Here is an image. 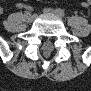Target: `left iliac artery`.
<instances>
[{
	"label": "left iliac artery",
	"mask_w": 91,
	"mask_h": 91,
	"mask_svg": "<svg viewBox=\"0 0 91 91\" xmlns=\"http://www.w3.org/2000/svg\"><path fill=\"white\" fill-rule=\"evenodd\" d=\"M57 13L61 16V17H65V12L64 10L60 9V8H57L56 9Z\"/></svg>",
	"instance_id": "obj_1"
}]
</instances>
